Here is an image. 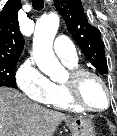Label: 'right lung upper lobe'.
Segmentation results:
<instances>
[{
	"instance_id": "obj_1",
	"label": "right lung upper lobe",
	"mask_w": 117,
	"mask_h": 136,
	"mask_svg": "<svg viewBox=\"0 0 117 136\" xmlns=\"http://www.w3.org/2000/svg\"><path fill=\"white\" fill-rule=\"evenodd\" d=\"M20 0H8L0 12V60H18L24 47L19 31Z\"/></svg>"
}]
</instances>
